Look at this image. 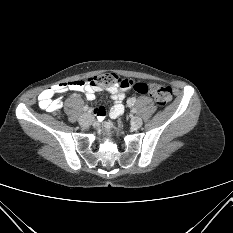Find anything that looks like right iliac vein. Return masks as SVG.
<instances>
[{"label": "right iliac vein", "mask_w": 233, "mask_h": 233, "mask_svg": "<svg viewBox=\"0 0 233 233\" xmlns=\"http://www.w3.org/2000/svg\"><path fill=\"white\" fill-rule=\"evenodd\" d=\"M93 121V117L89 113H84L80 118H79V124L83 127L89 126Z\"/></svg>", "instance_id": "1"}]
</instances>
